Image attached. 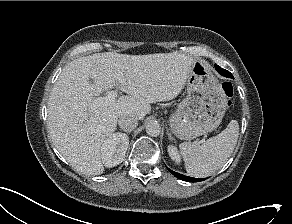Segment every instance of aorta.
Wrapping results in <instances>:
<instances>
[{"label": "aorta", "mask_w": 292, "mask_h": 224, "mask_svg": "<svg viewBox=\"0 0 292 224\" xmlns=\"http://www.w3.org/2000/svg\"><path fill=\"white\" fill-rule=\"evenodd\" d=\"M161 128L158 122L150 121L146 125V132L149 136L156 137L160 134Z\"/></svg>", "instance_id": "aorta-1"}]
</instances>
